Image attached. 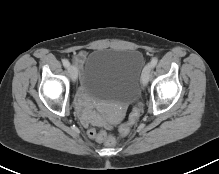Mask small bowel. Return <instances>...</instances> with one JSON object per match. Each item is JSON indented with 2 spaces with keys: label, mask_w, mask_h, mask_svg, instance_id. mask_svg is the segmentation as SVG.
Instances as JSON below:
<instances>
[{
  "label": "small bowel",
  "mask_w": 219,
  "mask_h": 174,
  "mask_svg": "<svg viewBox=\"0 0 219 174\" xmlns=\"http://www.w3.org/2000/svg\"><path fill=\"white\" fill-rule=\"evenodd\" d=\"M86 52L80 51L74 56V62L78 65L81 66L83 65L85 59H86ZM78 102L80 106V112L83 120L88 123L91 120L95 118L94 113L91 112L90 106L88 102L84 99L83 95H79L78 97Z\"/></svg>",
  "instance_id": "c3829d8e"
}]
</instances>
